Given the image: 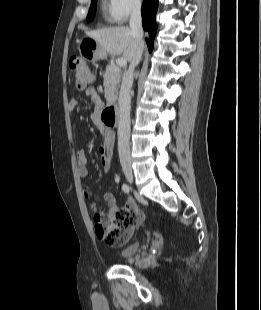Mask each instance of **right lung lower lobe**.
I'll list each match as a JSON object with an SVG mask.
<instances>
[{"label": "right lung lower lobe", "instance_id": "1", "mask_svg": "<svg viewBox=\"0 0 261 310\" xmlns=\"http://www.w3.org/2000/svg\"><path fill=\"white\" fill-rule=\"evenodd\" d=\"M158 0H144L142 5V25L143 29L149 33V39L146 38L149 52L153 49V40L156 35V12Z\"/></svg>", "mask_w": 261, "mask_h": 310}]
</instances>
